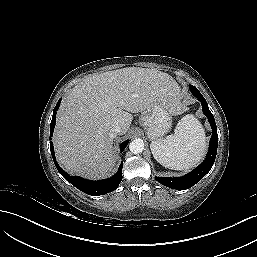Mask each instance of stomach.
I'll list each match as a JSON object with an SVG mask.
<instances>
[{"label": "stomach", "instance_id": "0dacf381", "mask_svg": "<svg viewBox=\"0 0 257 257\" xmlns=\"http://www.w3.org/2000/svg\"><path fill=\"white\" fill-rule=\"evenodd\" d=\"M139 122L147 137L152 141L162 137L172 126L171 113L161 101L153 102L144 110Z\"/></svg>", "mask_w": 257, "mask_h": 257}]
</instances>
